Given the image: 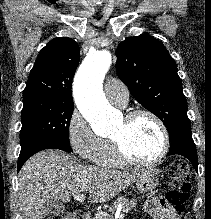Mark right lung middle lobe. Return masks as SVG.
Wrapping results in <instances>:
<instances>
[{"mask_svg": "<svg viewBox=\"0 0 211 219\" xmlns=\"http://www.w3.org/2000/svg\"><path fill=\"white\" fill-rule=\"evenodd\" d=\"M20 131L21 151L41 143H53L72 151L68 132L72 103L48 99L23 102Z\"/></svg>", "mask_w": 211, "mask_h": 219, "instance_id": "dd1d6c3e", "label": "right lung middle lobe"}]
</instances>
